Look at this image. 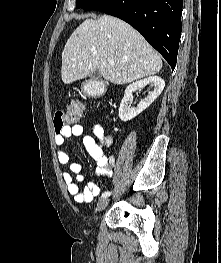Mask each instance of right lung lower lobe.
<instances>
[{
    "label": "right lung lower lobe",
    "instance_id": "1",
    "mask_svg": "<svg viewBox=\"0 0 221 263\" xmlns=\"http://www.w3.org/2000/svg\"><path fill=\"white\" fill-rule=\"evenodd\" d=\"M183 0H103L93 10L118 17L136 30L176 66Z\"/></svg>",
    "mask_w": 221,
    "mask_h": 263
}]
</instances>
